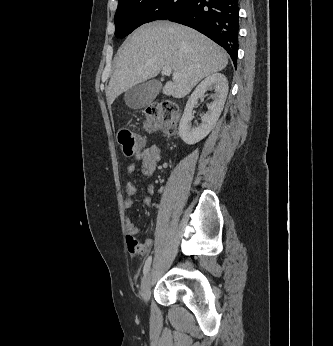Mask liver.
Here are the masks:
<instances>
[{"label":"liver","mask_w":333,"mask_h":346,"mask_svg":"<svg viewBox=\"0 0 333 346\" xmlns=\"http://www.w3.org/2000/svg\"><path fill=\"white\" fill-rule=\"evenodd\" d=\"M227 64V53L194 29L170 22L145 24L118 50L107 102L111 105L123 92L156 77L163 67L179 74L165 84L163 94L182 98L200 80L223 70Z\"/></svg>","instance_id":"liver-1"}]
</instances>
